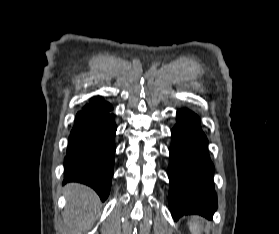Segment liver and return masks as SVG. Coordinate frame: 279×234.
Segmentation results:
<instances>
[{
    "label": "liver",
    "mask_w": 279,
    "mask_h": 234,
    "mask_svg": "<svg viewBox=\"0 0 279 234\" xmlns=\"http://www.w3.org/2000/svg\"><path fill=\"white\" fill-rule=\"evenodd\" d=\"M66 196L65 226L71 234H78L96 216L99 198L89 187L78 183L66 186Z\"/></svg>",
    "instance_id": "6515ba94"
}]
</instances>
